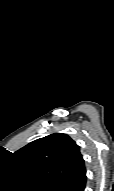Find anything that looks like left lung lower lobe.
I'll use <instances>...</instances> for the list:
<instances>
[{"instance_id":"1","label":"left lung lower lobe","mask_w":114,"mask_h":191,"mask_svg":"<svg viewBox=\"0 0 114 191\" xmlns=\"http://www.w3.org/2000/svg\"><path fill=\"white\" fill-rule=\"evenodd\" d=\"M86 179V170L84 169L69 186L67 191H84Z\"/></svg>"}]
</instances>
